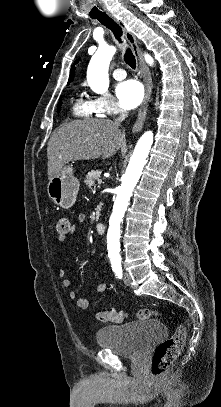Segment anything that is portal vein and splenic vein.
<instances>
[{
  "instance_id": "portal-vein-and-splenic-vein-1",
  "label": "portal vein and splenic vein",
  "mask_w": 221,
  "mask_h": 407,
  "mask_svg": "<svg viewBox=\"0 0 221 407\" xmlns=\"http://www.w3.org/2000/svg\"><path fill=\"white\" fill-rule=\"evenodd\" d=\"M101 182H102V180H101V179H99V180H98V183L100 184Z\"/></svg>"
}]
</instances>
